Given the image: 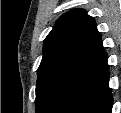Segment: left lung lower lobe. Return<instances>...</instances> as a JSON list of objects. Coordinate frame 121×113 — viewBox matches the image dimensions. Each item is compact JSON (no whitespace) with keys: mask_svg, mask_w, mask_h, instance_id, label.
I'll list each match as a JSON object with an SVG mask.
<instances>
[{"mask_svg":"<svg viewBox=\"0 0 121 113\" xmlns=\"http://www.w3.org/2000/svg\"><path fill=\"white\" fill-rule=\"evenodd\" d=\"M113 97L109 88V67L78 101L71 113H112Z\"/></svg>","mask_w":121,"mask_h":113,"instance_id":"obj_1","label":"left lung lower lobe"}]
</instances>
